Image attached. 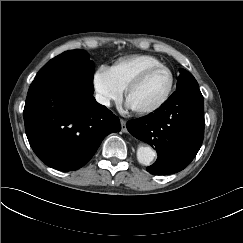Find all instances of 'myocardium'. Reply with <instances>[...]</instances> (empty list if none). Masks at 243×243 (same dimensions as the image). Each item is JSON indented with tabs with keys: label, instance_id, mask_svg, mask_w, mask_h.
<instances>
[{
	"label": "myocardium",
	"instance_id": "obj_1",
	"mask_svg": "<svg viewBox=\"0 0 243 243\" xmlns=\"http://www.w3.org/2000/svg\"><path fill=\"white\" fill-rule=\"evenodd\" d=\"M157 69H165L169 73L170 81H169L167 91L165 92L164 96L153 105L145 108L133 109L138 114H150L159 110L162 106H164L167 103V101L170 99L172 95L174 85H175L174 74L168 66L164 64H158L142 70L130 81V83L125 88V92H124L125 100L126 101L128 100L129 94L143 82V80L147 77L148 74H150L151 72Z\"/></svg>",
	"mask_w": 243,
	"mask_h": 243
}]
</instances>
